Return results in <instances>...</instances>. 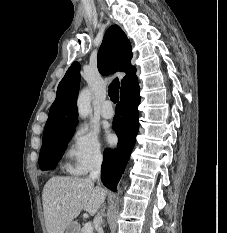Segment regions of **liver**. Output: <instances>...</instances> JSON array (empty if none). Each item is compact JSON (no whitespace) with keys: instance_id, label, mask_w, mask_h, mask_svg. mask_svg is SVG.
Segmentation results:
<instances>
[{"instance_id":"liver-1","label":"liver","mask_w":227,"mask_h":233,"mask_svg":"<svg viewBox=\"0 0 227 233\" xmlns=\"http://www.w3.org/2000/svg\"><path fill=\"white\" fill-rule=\"evenodd\" d=\"M105 196V190L95 187L90 178H50L42 192L47 233H64L82 210L95 215Z\"/></svg>"}]
</instances>
